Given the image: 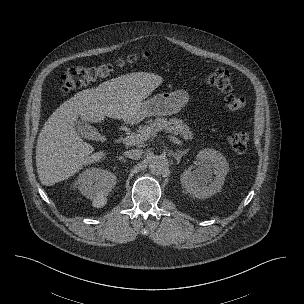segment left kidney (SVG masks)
Listing matches in <instances>:
<instances>
[{"label":"left kidney","mask_w":304,"mask_h":304,"mask_svg":"<svg viewBox=\"0 0 304 304\" xmlns=\"http://www.w3.org/2000/svg\"><path fill=\"white\" fill-rule=\"evenodd\" d=\"M194 165L196 169L192 170L191 166L180 177L186 192L196 198H207L220 192L229 171L225 157L214 149H203Z\"/></svg>","instance_id":"obj_1"}]
</instances>
